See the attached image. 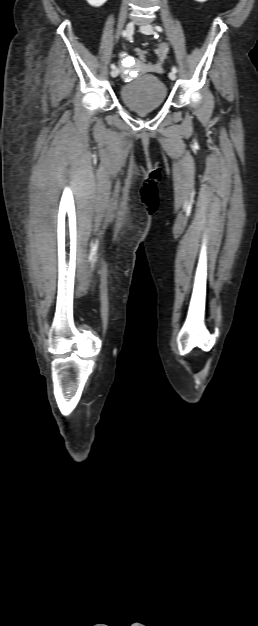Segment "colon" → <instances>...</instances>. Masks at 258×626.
I'll use <instances>...</instances> for the list:
<instances>
[{
    "instance_id": "5ec220e1",
    "label": "colon",
    "mask_w": 258,
    "mask_h": 626,
    "mask_svg": "<svg viewBox=\"0 0 258 626\" xmlns=\"http://www.w3.org/2000/svg\"><path fill=\"white\" fill-rule=\"evenodd\" d=\"M135 52H136L137 56H138L140 59H142V60H144V59H145V57H146L145 51H143V50H142V49H140V48H137V49L135 50Z\"/></svg>"
}]
</instances>
